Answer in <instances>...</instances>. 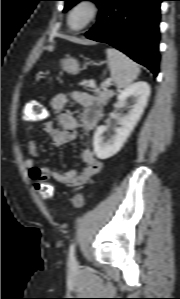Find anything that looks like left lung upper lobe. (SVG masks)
<instances>
[{
	"instance_id": "1",
	"label": "left lung upper lobe",
	"mask_w": 180,
	"mask_h": 299,
	"mask_svg": "<svg viewBox=\"0 0 180 299\" xmlns=\"http://www.w3.org/2000/svg\"><path fill=\"white\" fill-rule=\"evenodd\" d=\"M63 1L66 2V5H65L64 10H63L64 12H66L67 10H69L73 5H75L79 1H93L99 6V4L103 0H63Z\"/></svg>"
}]
</instances>
